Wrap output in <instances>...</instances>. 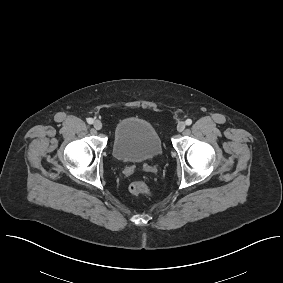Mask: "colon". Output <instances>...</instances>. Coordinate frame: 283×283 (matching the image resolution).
I'll return each instance as SVG.
<instances>
[{"mask_svg": "<svg viewBox=\"0 0 283 283\" xmlns=\"http://www.w3.org/2000/svg\"><path fill=\"white\" fill-rule=\"evenodd\" d=\"M129 190L135 195H142L150 197L152 195L151 190L146 182L142 180H135L129 185Z\"/></svg>", "mask_w": 283, "mask_h": 283, "instance_id": "obj_1", "label": "colon"}]
</instances>
